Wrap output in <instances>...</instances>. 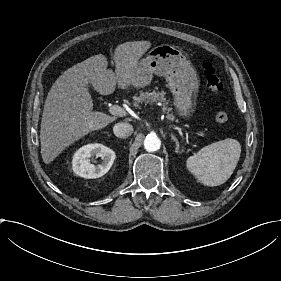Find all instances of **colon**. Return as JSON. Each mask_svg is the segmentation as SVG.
Here are the masks:
<instances>
[{
	"label": "colon",
	"instance_id": "1",
	"mask_svg": "<svg viewBox=\"0 0 281 281\" xmlns=\"http://www.w3.org/2000/svg\"><path fill=\"white\" fill-rule=\"evenodd\" d=\"M201 72L204 77L205 85L209 91L219 96L223 93V82L219 77L212 62L205 61L201 64ZM213 119L218 125H225L229 121L228 112L222 107H216L213 111Z\"/></svg>",
	"mask_w": 281,
	"mask_h": 281
}]
</instances>
